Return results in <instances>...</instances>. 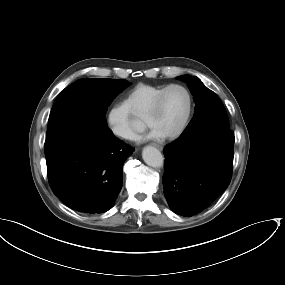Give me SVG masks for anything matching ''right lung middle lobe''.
<instances>
[{
  "label": "right lung middle lobe",
  "instance_id": "dd1d6c3e",
  "mask_svg": "<svg viewBox=\"0 0 285 285\" xmlns=\"http://www.w3.org/2000/svg\"><path fill=\"white\" fill-rule=\"evenodd\" d=\"M129 82L123 79H89L75 81L56 98L50 112L47 138L64 124L81 115H91L106 123L105 114L113 99Z\"/></svg>",
  "mask_w": 285,
  "mask_h": 285
}]
</instances>
